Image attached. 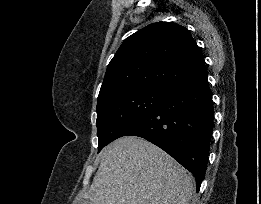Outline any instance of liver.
<instances>
[{"instance_id":"1","label":"liver","mask_w":261,"mask_h":204,"mask_svg":"<svg viewBox=\"0 0 261 204\" xmlns=\"http://www.w3.org/2000/svg\"><path fill=\"white\" fill-rule=\"evenodd\" d=\"M194 177L149 141L121 137L100 153V166L79 200L92 204H189Z\"/></svg>"}]
</instances>
